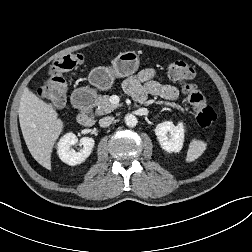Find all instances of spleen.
Listing matches in <instances>:
<instances>
[{
	"instance_id": "spleen-1",
	"label": "spleen",
	"mask_w": 252,
	"mask_h": 252,
	"mask_svg": "<svg viewBox=\"0 0 252 252\" xmlns=\"http://www.w3.org/2000/svg\"><path fill=\"white\" fill-rule=\"evenodd\" d=\"M206 147L207 144L204 141L193 139L189 145L186 162L190 163L198 159L204 153Z\"/></svg>"
}]
</instances>
